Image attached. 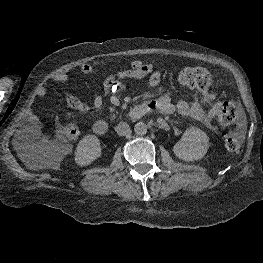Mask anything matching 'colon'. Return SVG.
Returning a JSON list of instances; mask_svg holds the SVG:
<instances>
[{
    "label": "colon",
    "instance_id": "1",
    "mask_svg": "<svg viewBox=\"0 0 263 263\" xmlns=\"http://www.w3.org/2000/svg\"><path fill=\"white\" fill-rule=\"evenodd\" d=\"M179 81L183 86L196 89L200 92L202 99L211 104V116L224 126L234 122L237 116L236 106L231 102L215 101L212 91V77L209 71L202 67H186L179 73ZM63 133L69 140L79 137V128L75 123H68L63 128ZM225 147L231 152H238L243 144V135L240 131H231L224 135ZM54 160L58 153L52 152Z\"/></svg>",
    "mask_w": 263,
    "mask_h": 263
}]
</instances>
